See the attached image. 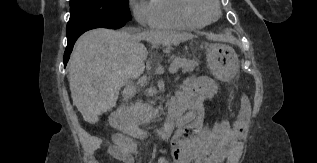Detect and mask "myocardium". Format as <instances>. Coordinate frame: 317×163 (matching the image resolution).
Listing matches in <instances>:
<instances>
[{"label":"myocardium","instance_id":"obj_1","mask_svg":"<svg viewBox=\"0 0 317 163\" xmlns=\"http://www.w3.org/2000/svg\"><path fill=\"white\" fill-rule=\"evenodd\" d=\"M201 2L202 0H181L180 6L183 14L189 19L200 21L204 24L213 22L220 17L221 11L218 0L206 1L213 8L215 12L214 16H208L202 11L200 7Z\"/></svg>","mask_w":317,"mask_h":163}]
</instances>
